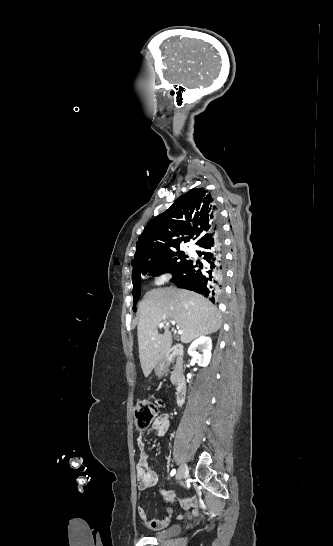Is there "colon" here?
Here are the masks:
<instances>
[{"mask_svg": "<svg viewBox=\"0 0 333 546\" xmlns=\"http://www.w3.org/2000/svg\"><path fill=\"white\" fill-rule=\"evenodd\" d=\"M161 402L141 400L134 408V423L139 431L147 429L157 418Z\"/></svg>", "mask_w": 333, "mask_h": 546, "instance_id": "5ec220e1", "label": "colon"}]
</instances>
